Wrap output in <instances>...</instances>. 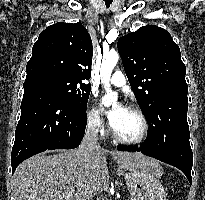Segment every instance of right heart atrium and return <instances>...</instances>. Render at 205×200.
I'll return each mask as SVG.
<instances>
[{"label":"right heart atrium","instance_id":"right-heart-atrium-1","mask_svg":"<svg viewBox=\"0 0 205 200\" xmlns=\"http://www.w3.org/2000/svg\"><path fill=\"white\" fill-rule=\"evenodd\" d=\"M86 121L88 128L96 134H100L104 130V121L99 112V110L95 106H90L87 110Z\"/></svg>","mask_w":205,"mask_h":200}]
</instances>
